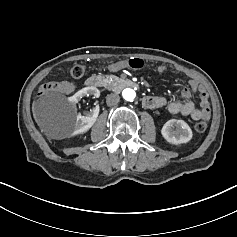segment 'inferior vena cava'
I'll return each instance as SVG.
<instances>
[{"instance_id":"602c4592","label":"inferior vena cava","mask_w":237,"mask_h":237,"mask_svg":"<svg viewBox=\"0 0 237 237\" xmlns=\"http://www.w3.org/2000/svg\"><path fill=\"white\" fill-rule=\"evenodd\" d=\"M120 101V97L117 94H109L106 97V103L108 106L116 105Z\"/></svg>"}]
</instances>
